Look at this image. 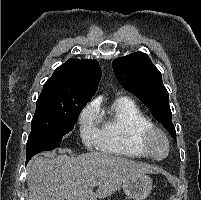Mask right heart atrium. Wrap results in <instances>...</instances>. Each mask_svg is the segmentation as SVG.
<instances>
[{
  "label": "right heart atrium",
  "mask_w": 201,
  "mask_h": 200,
  "mask_svg": "<svg viewBox=\"0 0 201 200\" xmlns=\"http://www.w3.org/2000/svg\"><path fill=\"white\" fill-rule=\"evenodd\" d=\"M97 110L94 106H87L79 118L80 135L87 146L97 145L98 128L96 126Z\"/></svg>",
  "instance_id": "right-heart-atrium-1"
}]
</instances>
